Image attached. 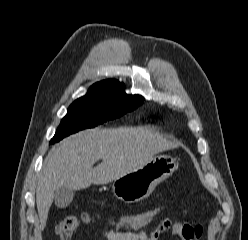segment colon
Returning <instances> with one entry per match:
<instances>
[{
  "mask_svg": "<svg viewBox=\"0 0 248 240\" xmlns=\"http://www.w3.org/2000/svg\"><path fill=\"white\" fill-rule=\"evenodd\" d=\"M165 206H158L137 214L123 216L118 229L123 232H137L157 220L164 212ZM92 220L89 214H68L57 224L56 234L58 240H71L75 231Z\"/></svg>",
  "mask_w": 248,
  "mask_h": 240,
  "instance_id": "colon-1",
  "label": "colon"
}]
</instances>
